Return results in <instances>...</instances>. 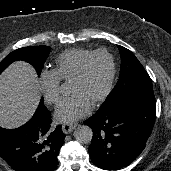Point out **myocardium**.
I'll use <instances>...</instances> for the list:
<instances>
[{
    "label": "myocardium",
    "mask_w": 171,
    "mask_h": 171,
    "mask_svg": "<svg viewBox=\"0 0 171 171\" xmlns=\"http://www.w3.org/2000/svg\"><path fill=\"white\" fill-rule=\"evenodd\" d=\"M98 55H105L109 58L110 75H109V80H108L105 90L93 103L94 106H97V105L101 104L103 101H105L107 99V97L110 95V93L112 92L114 82H115V77H116V61H115L114 55L106 49H99V50L93 51L89 56H87L82 61V63L78 67L77 71L74 73V75L70 79V80H78V79L82 78L83 75L85 74V71H86L89 63L91 62V60Z\"/></svg>",
    "instance_id": "1"
}]
</instances>
